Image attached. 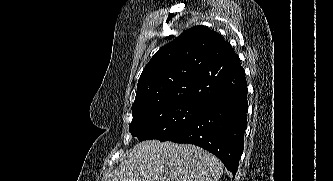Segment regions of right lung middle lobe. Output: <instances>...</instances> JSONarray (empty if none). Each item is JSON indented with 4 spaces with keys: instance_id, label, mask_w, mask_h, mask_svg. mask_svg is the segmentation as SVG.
I'll return each mask as SVG.
<instances>
[{
    "instance_id": "dd1d6c3e",
    "label": "right lung middle lobe",
    "mask_w": 333,
    "mask_h": 181,
    "mask_svg": "<svg viewBox=\"0 0 333 181\" xmlns=\"http://www.w3.org/2000/svg\"><path fill=\"white\" fill-rule=\"evenodd\" d=\"M203 105L193 102H167L151 105L132 112L129 131L140 141H166L190 125Z\"/></svg>"
}]
</instances>
